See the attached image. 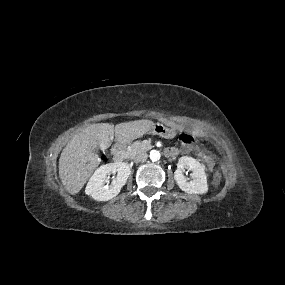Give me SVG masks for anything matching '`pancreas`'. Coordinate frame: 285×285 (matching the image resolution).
Returning a JSON list of instances; mask_svg holds the SVG:
<instances>
[{
    "label": "pancreas",
    "instance_id": "pancreas-1",
    "mask_svg": "<svg viewBox=\"0 0 285 285\" xmlns=\"http://www.w3.org/2000/svg\"><path fill=\"white\" fill-rule=\"evenodd\" d=\"M149 146L145 145L142 141H136L128 147V153L131 157L135 156L137 153L146 151Z\"/></svg>",
    "mask_w": 285,
    "mask_h": 285
}]
</instances>
